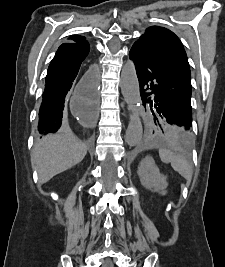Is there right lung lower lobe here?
Returning a JSON list of instances; mask_svg holds the SVG:
<instances>
[{
    "label": "right lung lower lobe",
    "instance_id": "98d812e1",
    "mask_svg": "<svg viewBox=\"0 0 225 267\" xmlns=\"http://www.w3.org/2000/svg\"><path fill=\"white\" fill-rule=\"evenodd\" d=\"M89 50L88 42H68L58 48L45 79V89L39 110L38 135L62 131L65 100L75 85ZM88 98L91 100L95 98L94 82L89 88Z\"/></svg>",
    "mask_w": 225,
    "mask_h": 267
}]
</instances>
